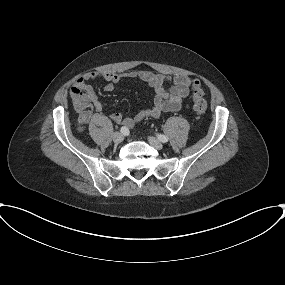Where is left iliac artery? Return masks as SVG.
I'll return each instance as SVG.
<instances>
[{
    "mask_svg": "<svg viewBox=\"0 0 285 285\" xmlns=\"http://www.w3.org/2000/svg\"><path fill=\"white\" fill-rule=\"evenodd\" d=\"M158 139L163 142V143H166L168 141V137H166L165 135L163 134H158L157 135Z\"/></svg>",
    "mask_w": 285,
    "mask_h": 285,
    "instance_id": "left-iliac-artery-1",
    "label": "left iliac artery"
}]
</instances>
